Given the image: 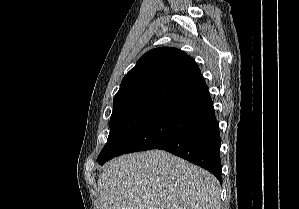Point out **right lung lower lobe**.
Here are the masks:
<instances>
[{"instance_id":"1","label":"right lung lower lobe","mask_w":299,"mask_h":209,"mask_svg":"<svg viewBox=\"0 0 299 209\" xmlns=\"http://www.w3.org/2000/svg\"><path fill=\"white\" fill-rule=\"evenodd\" d=\"M220 132L202 75L162 102L138 134L116 155L166 150L211 172L222 183Z\"/></svg>"}]
</instances>
